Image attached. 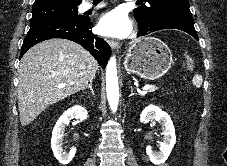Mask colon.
<instances>
[{"mask_svg":"<svg viewBox=\"0 0 227 166\" xmlns=\"http://www.w3.org/2000/svg\"><path fill=\"white\" fill-rule=\"evenodd\" d=\"M183 63L187 69L191 70L193 68V62L189 56H184Z\"/></svg>","mask_w":227,"mask_h":166,"instance_id":"5ec220e1","label":"colon"}]
</instances>
